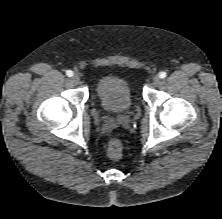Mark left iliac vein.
<instances>
[{"mask_svg": "<svg viewBox=\"0 0 222 219\" xmlns=\"http://www.w3.org/2000/svg\"><path fill=\"white\" fill-rule=\"evenodd\" d=\"M161 82V79L158 75H156L154 78H153V84L154 85H159Z\"/></svg>", "mask_w": 222, "mask_h": 219, "instance_id": "left-iliac-vein-1", "label": "left iliac vein"}]
</instances>
